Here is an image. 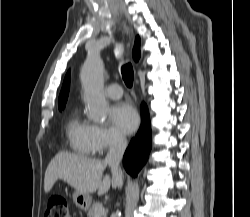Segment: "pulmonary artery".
Wrapping results in <instances>:
<instances>
[{
  "mask_svg": "<svg viewBox=\"0 0 250 217\" xmlns=\"http://www.w3.org/2000/svg\"><path fill=\"white\" fill-rule=\"evenodd\" d=\"M105 95L110 99H119L122 97L123 91L120 85L112 83L106 87Z\"/></svg>",
  "mask_w": 250,
  "mask_h": 217,
  "instance_id": "e3ab8cb5",
  "label": "pulmonary artery"
}]
</instances>
